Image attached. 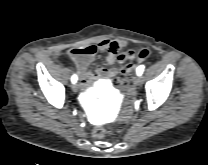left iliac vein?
Listing matches in <instances>:
<instances>
[{
  "instance_id": "left-iliac-vein-1",
  "label": "left iliac vein",
  "mask_w": 208,
  "mask_h": 165,
  "mask_svg": "<svg viewBox=\"0 0 208 165\" xmlns=\"http://www.w3.org/2000/svg\"><path fill=\"white\" fill-rule=\"evenodd\" d=\"M142 83H143V78H142V77H137V79H136V84H137L138 86H141Z\"/></svg>"
}]
</instances>
